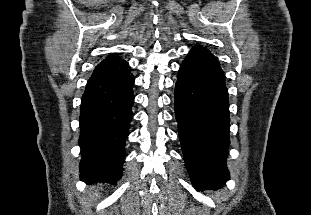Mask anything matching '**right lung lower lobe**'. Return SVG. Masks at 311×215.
Segmentation results:
<instances>
[{"label":"right lung lower lobe","mask_w":311,"mask_h":215,"mask_svg":"<svg viewBox=\"0 0 311 215\" xmlns=\"http://www.w3.org/2000/svg\"><path fill=\"white\" fill-rule=\"evenodd\" d=\"M134 77L128 63L102 61L88 80L80 107V179L116 183L132 118Z\"/></svg>","instance_id":"right-lung-lower-lobe-1"}]
</instances>
